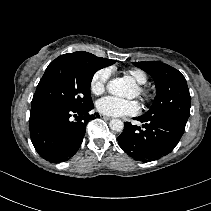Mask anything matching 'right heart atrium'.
<instances>
[{"label": "right heart atrium", "instance_id": "obj_1", "mask_svg": "<svg viewBox=\"0 0 211 211\" xmlns=\"http://www.w3.org/2000/svg\"><path fill=\"white\" fill-rule=\"evenodd\" d=\"M111 70L102 68L96 71L90 80V90L98 95L104 92L110 78Z\"/></svg>", "mask_w": 211, "mask_h": 211}]
</instances>
